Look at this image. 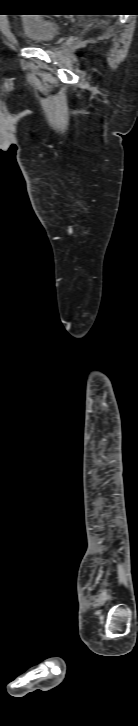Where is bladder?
Instances as JSON below:
<instances>
[{"label": "bladder", "mask_w": 138, "mask_h": 726, "mask_svg": "<svg viewBox=\"0 0 138 726\" xmlns=\"http://www.w3.org/2000/svg\"><path fill=\"white\" fill-rule=\"evenodd\" d=\"M20 24L26 41L34 46H47L61 33L58 23L37 16H26L21 19Z\"/></svg>", "instance_id": "bladder-1"}]
</instances>
